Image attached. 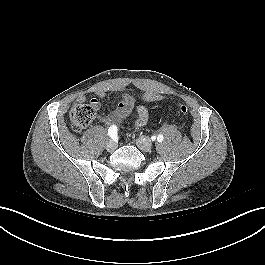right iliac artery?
<instances>
[{"mask_svg": "<svg viewBox=\"0 0 265 265\" xmlns=\"http://www.w3.org/2000/svg\"><path fill=\"white\" fill-rule=\"evenodd\" d=\"M117 132H118V129H117V126H115V125L110 126L109 129H108V135H109L112 139H116V137H117Z\"/></svg>", "mask_w": 265, "mask_h": 265, "instance_id": "1", "label": "right iliac artery"}]
</instances>
